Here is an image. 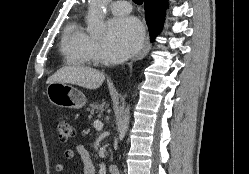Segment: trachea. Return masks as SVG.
Listing matches in <instances>:
<instances>
[{"label":"trachea","mask_w":249,"mask_h":174,"mask_svg":"<svg viewBox=\"0 0 249 174\" xmlns=\"http://www.w3.org/2000/svg\"><path fill=\"white\" fill-rule=\"evenodd\" d=\"M134 3L141 5L143 3V0H132Z\"/></svg>","instance_id":"obj_1"}]
</instances>
